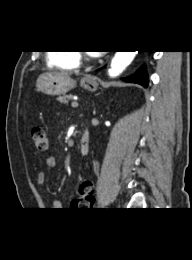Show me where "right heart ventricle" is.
Listing matches in <instances>:
<instances>
[{
  "label": "right heart ventricle",
  "mask_w": 192,
  "mask_h": 260,
  "mask_svg": "<svg viewBox=\"0 0 192 260\" xmlns=\"http://www.w3.org/2000/svg\"><path fill=\"white\" fill-rule=\"evenodd\" d=\"M48 65L65 70H73L79 67L80 58L75 51L50 52L47 55Z\"/></svg>",
  "instance_id": "right-heart-ventricle-1"
}]
</instances>
